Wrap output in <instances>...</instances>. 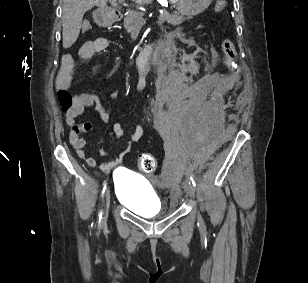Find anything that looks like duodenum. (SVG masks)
<instances>
[{"label":"duodenum","instance_id":"obj_1","mask_svg":"<svg viewBox=\"0 0 308 283\" xmlns=\"http://www.w3.org/2000/svg\"><path fill=\"white\" fill-rule=\"evenodd\" d=\"M123 13L121 10L112 8L109 10L104 11L102 14L98 16V23L103 26L110 25L112 23L118 22L122 19ZM153 43L155 42L154 40L152 41ZM152 43L147 44L145 48H142V53L138 57V67L139 69H144L147 65V61L149 57H152L154 55V52L151 50L152 49Z\"/></svg>","mask_w":308,"mask_h":283}]
</instances>
